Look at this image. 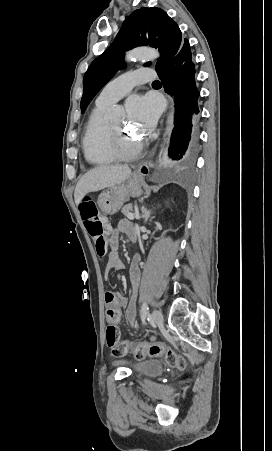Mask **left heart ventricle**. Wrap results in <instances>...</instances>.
Wrapping results in <instances>:
<instances>
[{
	"label": "left heart ventricle",
	"mask_w": 272,
	"mask_h": 451,
	"mask_svg": "<svg viewBox=\"0 0 272 451\" xmlns=\"http://www.w3.org/2000/svg\"><path fill=\"white\" fill-rule=\"evenodd\" d=\"M110 125L112 126L113 131L116 134L118 140H120V141L128 140V138L123 133V127H124L123 120L116 121Z\"/></svg>",
	"instance_id": "b2bd125f"
}]
</instances>
